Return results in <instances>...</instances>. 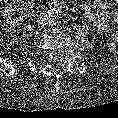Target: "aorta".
<instances>
[{
  "instance_id": "obj_1",
  "label": "aorta",
  "mask_w": 118,
  "mask_h": 118,
  "mask_svg": "<svg viewBox=\"0 0 118 118\" xmlns=\"http://www.w3.org/2000/svg\"><path fill=\"white\" fill-rule=\"evenodd\" d=\"M59 15V12L58 10H56L55 8H52V9H49L46 14H45V17L50 20V21H53L55 19H57Z\"/></svg>"
}]
</instances>
